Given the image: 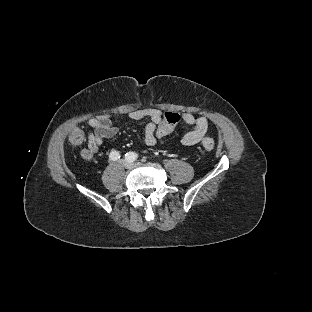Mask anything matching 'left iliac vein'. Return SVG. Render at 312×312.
I'll use <instances>...</instances> for the list:
<instances>
[{
	"mask_svg": "<svg viewBox=\"0 0 312 312\" xmlns=\"http://www.w3.org/2000/svg\"><path fill=\"white\" fill-rule=\"evenodd\" d=\"M133 165H134V166H139L140 163H138V162H137V163H133Z\"/></svg>",
	"mask_w": 312,
	"mask_h": 312,
	"instance_id": "left-iliac-vein-1",
	"label": "left iliac vein"
}]
</instances>
